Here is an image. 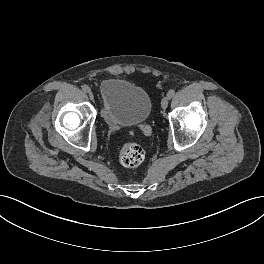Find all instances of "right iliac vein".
Listing matches in <instances>:
<instances>
[{
    "instance_id": "obj_1",
    "label": "right iliac vein",
    "mask_w": 264,
    "mask_h": 264,
    "mask_svg": "<svg viewBox=\"0 0 264 264\" xmlns=\"http://www.w3.org/2000/svg\"><path fill=\"white\" fill-rule=\"evenodd\" d=\"M88 93H89V97H90V99H91V100H94V94H93L91 91H89Z\"/></svg>"
}]
</instances>
